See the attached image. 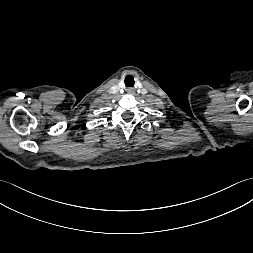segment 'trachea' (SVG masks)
Masks as SVG:
<instances>
[{"mask_svg": "<svg viewBox=\"0 0 253 253\" xmlns=\"http://www.w3.org/2000/svg\"><path fill=\"white\" fill-rule=\"evenodd\" d=\"M125 85H126V87H133L134 86V78L132 76L128 75L125 78Z\"/></svg>", "mask_w": 253, "mask_h": 253, "instance_id": "obj_1", "label": "trachea"}]
</instances>
